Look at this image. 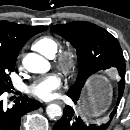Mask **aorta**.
<instances>
[{"label": "aorta", "mask_w": 130, "mask_h": 130, "mask_svg": "<svg viewBox=\"0 0 130 130\" xmlns=\"http://www.w3.org/2000/svg\"><path fill=\"white\" fill-rule=\"evenodd\" d=\"M22 63L24 68L31 73H46L50 69V63L36 53H28ZM46 113L50 119H56L62 116V109L57 104H50L46 107Z\"/></svg>", "instance_id": "1"}]
</instances>
